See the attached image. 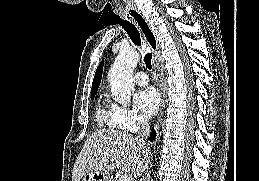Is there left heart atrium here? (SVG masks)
I'll return each instance as SVG.
<instances>
[{"label": "left heart atrium", "instance_id": "39dd6f15", "mask_svg": "<svg viewBox=\"0 0 259 181\" xmlns=\"http://www.w3.org/2000/svg\"><path fill=\"white\" fill-rule=\"evenodd\" d=\"M134 102L145 116H152L160 107L161 96L155 87L149 86L134 95Z\"/></svg>", "mask_w": 259, "mask_h": 181}]
</instances>
